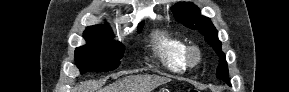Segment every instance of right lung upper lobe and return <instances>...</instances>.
I'll list each match as a JSON object with an SVG mask.
<instances>
[{
	"label": "right lung upper lobe",
	"instance_id": "right-lung-upper-lobe-1",
	"mask_svg": "<svg viewBox=\"0 0 289 92\" xmlns=\"http://www.w3.org/2000/svg\"><path fill=\"white\" fill-rule=\"evenodd\" d=\"M142 24H143V22L140 23L139 26L142 25ZM87 29L96 30V31H111V29L108 26H106V25L89 26V27H87Z\"/></svg>",
	"mask_w": 289,
	"mask_h": 92
}]
</instances>
